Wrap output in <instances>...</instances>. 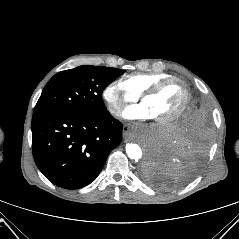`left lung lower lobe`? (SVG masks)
Masks as SVG:
<instances>
[{"instance_id": "0a47b994", "label": "left lung lower lobe", "mask_w": 239, "mask_h": 239, "mask_svg": "<svg viewBox=\"0 0 239 239\" xmlns=\"http://www.w3.org/2000/svg\"><path fill=\"white\" fill-rule=\"evenodd\" d=\"M209 141L208 112L205 106L193 102L172 130L150 149L143 166L145 178L162 189L187 183L199 170Z\"/></svg>"}]
</instances>
